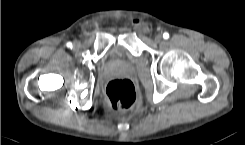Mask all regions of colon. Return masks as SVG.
I'll list each match as a JSON object with an SVG mask.
<instances>
[{
	"mask_svg": "<svg viewBox=\"0 0 245 145\" xmlns=\"http://www.w3.org/2000/svg\"><path fill=\"white\" fill-rule=\"evenodd\" d=\"M139 30L147 31L151 26L144 21L135 22ZM106 96L112 108L124 111L133 107L136 102V89L129 79H114L106 87Z\"/></svg>",
	"mask_w": 245,
	"mask_h": 145,
	"instance_id": "obj_1",
	"label": "colon"
}]
</instances>
